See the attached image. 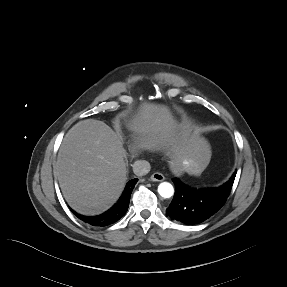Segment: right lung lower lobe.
<instances>
[{
	"instance_id": "1",
	"label": "right lung lower lobe",
	"mask_w": 287,
	"mask_h": 287,
	"mask_svg": "<svg viewBox=\"0 0 287 287\" xmlns=\"http://www.w3.org/2000/svg\"><path fill=\"white\" fill-rule=\"evenodd\" d=\"M138 179H132L130 180L119 198L118 202L115 203L108 211L101 215L97 216H84L81 214H78L75 211H72L76 217H78L83 222L90 224L92 226H108L110 224H113L117 222L120 218H122L129 207V201L131 193L135 187V184L137 183Z\"/></svg>"
}]
</instances>
